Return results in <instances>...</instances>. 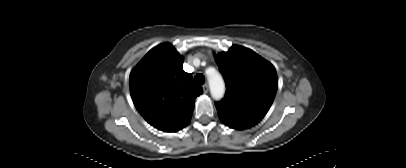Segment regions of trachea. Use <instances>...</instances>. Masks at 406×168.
<instances>
[{
    "label": "trachea",
    "instance_id": "1",
    "mask_svg": "<svg viewBox=\"0 0 406 168\" xmlns=\"http://www.w3.org/2000/svg\"><path fill=\"white\" fill-rule=\"evenodd\" d=\"M194 81L198 85H203L205 82V77L202 74H197L194 78Z\"/></svg>",
    "mask_w": 406,
    "mask_h": 168
}]
</instances>
